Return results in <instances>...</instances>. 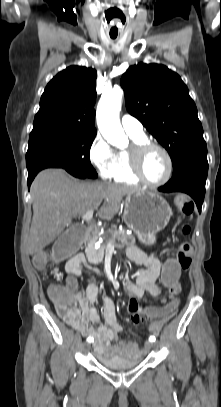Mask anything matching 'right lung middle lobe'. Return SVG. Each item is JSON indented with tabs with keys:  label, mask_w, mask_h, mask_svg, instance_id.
<instances>
[{
	"label": "right lung middle lobe",
	"mask_w": 221,
	"mask_h": 407,
	"mask_svg": "<svg viewBox=\"0 0 221 407\" xmlns=\"http://www.w3.org/2000/svg\"><path fill=\"white\" fill-rule=\"evenodd\" d=\"M95 136L96 133L65 128L32 130L26 154L27 169L55 162L68 172L96 178L90 163V147Z\"/></svg>",
	"instance_id": "1"
}]
</instances>
